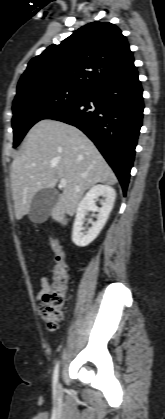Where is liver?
Listing matches in <instances>:
<instances>
[{
  "instance_id": "obj_1",
  "label": "liver",
  "mask_w": 165,
  "mask_h": 419,
  "mask_svg": "<svg viewBox=\"0 0 165 419\" xmlns=\"http://www.w3.org/2000/svg\"><path fill=\"white\" fill-rule=\"evenodd\" d=\"M66 179L52 210V219L67 224L84 192L96 183L114 185L117 178L93 142L78 128L43 119L27 133L21 153L11 165V187L15 216L29 213L34 195L42 189H53Z\"/></svg>"
}]
</instances>
